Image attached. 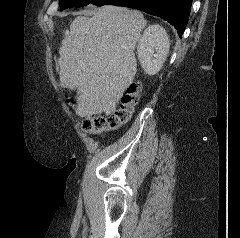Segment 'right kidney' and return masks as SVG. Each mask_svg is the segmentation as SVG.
Wrapping results in <instances>:
<instances>
[{
	"label": "right kidney",
	"mask_w": 240,
	"mask_h": 238,
	"mask_svg": "<svg viewBox=\"0 0 240 238\" xmlns=\"http://www.w3.org/2000/svg\"><path fill=\"white\" fill-rule=\"evenodd\" d=\"M169 46L167 32L162 26L150 25L144 30L138 43V58L148 75H155L160 71Z\"/></svg>",
	"instance_id": "ca27d5eb"
}]
</instances>
